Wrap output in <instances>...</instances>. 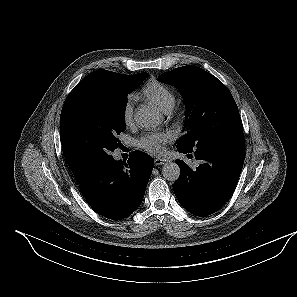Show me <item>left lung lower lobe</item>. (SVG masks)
Masks as SVG:
<instances>
[{"label": "left lung lower lobe", "mask_w": 297, "mask_h": 297, "mask_svg": "<svg viewBox=\"0 0 297 297\" xmlns=\"http://www.w3.org/2000/svg\"><path fill=\"white\" fill-rule=\"evenodd\" d=\"M177 149L184 154L191 153ZM194 150L201 164L193 170L184 161L176 160L181 174L173 189L187 211L208 216L229 200L236 187L245 158L243 131L227 134Z\"/></svg>", "instance_id": "1"}]
</instances>
